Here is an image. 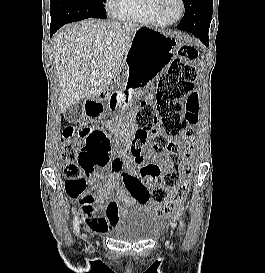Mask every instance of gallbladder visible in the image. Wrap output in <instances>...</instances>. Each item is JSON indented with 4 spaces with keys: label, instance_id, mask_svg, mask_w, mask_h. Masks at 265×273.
Returning a JSON list of instances; mask_svg holds the SVG:
<instances>
[{
    "label": "gallbladder",
    "instance_id": "gallbladder-1",
    "mask_svg": "<svg viewBox=\"0 0 265 273\" xmlns=\"http://www.w3.org/2000/svg\"><path fill=\"white\" fill-rule=\"evenodd\" d=\"M82 114V106L78 104H72L64 111L65 119L69 122H75L80 119Z\"/></svg>",
    "mask_w": 265,
    "mask_h": 273
}]
</instances>
